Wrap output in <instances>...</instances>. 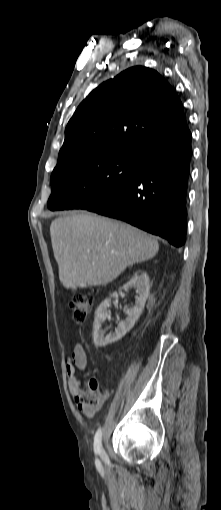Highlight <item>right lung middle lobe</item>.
Returning a JSON list of instances; mask_svg holds the SVG:
<instances>
[{
  "instance_id": "right-lung-middle-lobe-1",
  "label": "right lung middle lobe",
  "mask_w": 221,
  "mask_h": 510,
  "mask_svg": "<svg viewBox=\"0 0 221 510\" xmlns=\"http://www.w3.org/2000/svg\"><path fill=\"white\" fill-rule=\"evenodd\" d=\"M146 149L127 147L74 155L51 175L50 210L83 209L113 195L138 172Z\"/></svg>"
}]
</instances>
